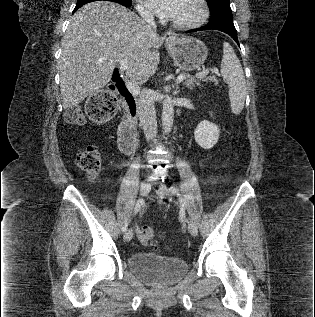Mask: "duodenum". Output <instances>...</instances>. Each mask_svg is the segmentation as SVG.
I'll return each mask as SVG.
<instances>
[{"instance_id": "obj_1", "label": "duodenum", "mask_w": 315, "mask_h": 317, "mask_svg": "<svg viewBox=\"0 0 315 317\" xmlns=\"http://www.w3.org/2000/svg\"><path fill=\"white\" fill-rule=\"evenodd\" d=\"M113 82L121 97L123 108L126 111L124 119L118 125V145L122 152L131 154L138 147L137 129L132 119L136 112V102L124 80L119 75L113 77Z\"/></svg>"}]
</instances>
